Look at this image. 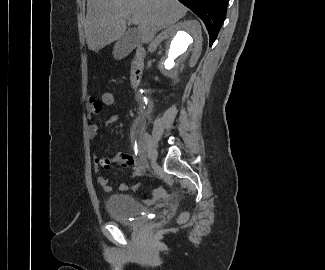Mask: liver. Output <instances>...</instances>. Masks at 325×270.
Segmentation results:
<instances>
[{
  "instance_id": "liver-1",
  "label": "liver",
  "mask_w": 325,
  "mask_h": 270,
  "mask_svg": "<svg viewBox=\"0 0 325 270\" xmlns=\"http://www.w3.org/2000/svg\"><path fill=\"white\" fill-rule=\"evenodd\" d=\"M187 13L177 0H87L85 22L86 43L89 50L98 51L118 40L126 31V19L139 20L137 32L143 43H158L156 33L167 28Z\"/></svg>"
}]
</instances>
